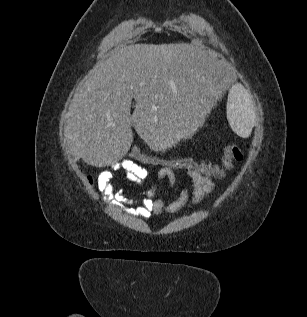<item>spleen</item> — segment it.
<instances>
[{"label": "spleen", "instance_id": "spleen-1", "mask_svg": "<svg viewBox=\"0 0 307 317\" xmlns=\"http://www.w3.org/2000/svg\"><path fill=\"white\" fill-rule=\"evenodd\" d=\"M227 102V117L232 130L242 138L249 137L255 121L249 94L243 87L236 85L232 87Z\"/></svg>", "mask_w": 307, "mask_h": 317}]
</instances>
